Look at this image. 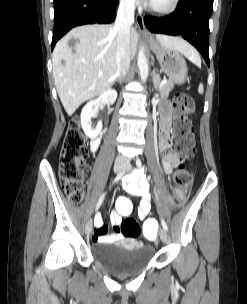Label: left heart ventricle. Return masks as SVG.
Listing matches in <instances>:
<instances>
[{"label":"left heart ventricle","instance_id":"obj_1","mask_svg":"<svg viewBox=\"0 0 247 304\" xmlns=\"http://www.w3.org/2000/svg\"><path fill=\"white\" fill-rule=\"evenodd\" d=\"M169 2L170 0H152L150 4L156 8H165L168 6Z\"/></svg>","mask_w":247,"mask_h":304}]
</instances>
